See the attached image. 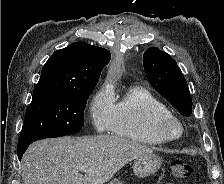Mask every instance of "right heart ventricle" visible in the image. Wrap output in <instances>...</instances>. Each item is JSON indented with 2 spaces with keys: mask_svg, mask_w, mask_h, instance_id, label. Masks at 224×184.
<instances>
[{
  "mask_svg": "<svg viewBox=\"0 0 224 184\" xmlns=\"http://www.w3.org/2000/svg\"><path fill=\"white\" fill-rule=\"evenodd\" d=\"M171 114L151 91L133 86L114 99L109 129L117 136L145 145L164 143L153 131L155 119Z\"/></svg>",
  "mask_w": 224,
  "mask_h": 184,
  "instance_id": "right-heart-ventricle-1",
  "label": "right heart ventricle"
}]
</instances>
